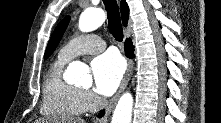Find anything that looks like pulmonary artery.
<instances>
[{"label": "pulmonary artery", "instance_id": "pulmonary-artery-1", "mask_svg": "<svg viewBox=\"0 0 221 123\" xmlns=\"http://www.w3.org/2000/svg\"><path fill=\"white\" fill-rule=\"evenodd\" d=\"M106 44L102 38L94 34L81 35L70 40L58 54L62 60L69 61L82 54H95L103 51Z\"/></svg>", "mask_w": 221, "mask_h": 123}]
</instances>
